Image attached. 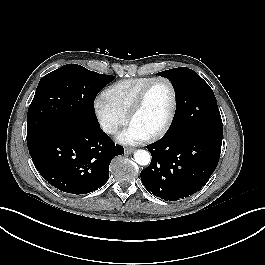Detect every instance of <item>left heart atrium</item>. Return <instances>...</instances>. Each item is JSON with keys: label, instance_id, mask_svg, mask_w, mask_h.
Listing matches in <instances>:
<instances>
[{"label": "left heart atrium", "instance_id": "1", "mask_svg": "<svg viewBox=\"0 0 265 265\" xmlns=\"http://www.w3.org/2000/svg\"><path fill=\"white\" fill-rule=\"evenodd\" d=\"M145 139H147V135L133 124H130L118 136L120 143L129 145L139 143Z\"/></svg>", "mask_w": 265, "mask_h": 265}]
</instances>
